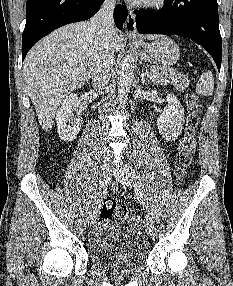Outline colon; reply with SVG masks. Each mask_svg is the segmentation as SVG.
<instances>
[{
  "mask_svg": "<svg viewBox=\"0 0 233 286\" xmlns=\"http://www.w3.org/2000/svg\"><path fill=\"white\" fill-rule=\"evenodd\" d=\"M188 115L186 118V128L179 143L180 167L177 170V176L183 178L186 169L192 164L193 154L196 148V132L199 125V115L201 107L198 97L194 93H188L185 98ZM102 219L116 217L121 221H126L133 228H141L142 220L131 213L126 207L117 206L112 199L106 200L100 210Z\"/></svg>",
  "mask_w": 233,
  "mask_h": 286,
  "instance_id": "obj_1",
  "label": "colon"
}]
</instances>
